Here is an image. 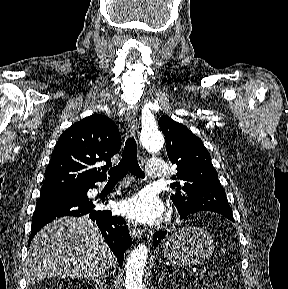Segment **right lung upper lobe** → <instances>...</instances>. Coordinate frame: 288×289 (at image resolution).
Returning a JSON list of instances; mask_svg holds the SVG:
<instances>
[{
	"mask_svg": "<svg viewBox=\"0 0 288 289\" xmlns=\"http://www.w3.org/2000/svg\"><path fill=\"white\" fill-rule=\"evenodd\" d=\"M120 147L118 127L109 117L95 114L76 122L59 137L41 190L85 188L105 180ZM99 161L106 165L94 167Z\"/></svg>",
	"mask_w": 288,
	"mask_h": 289,
	"instance_id": "right-lung-upper-lobe-1",
	"label": "right lung upper lobe"
}]
</instances>
